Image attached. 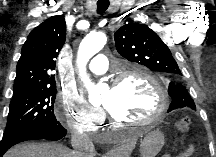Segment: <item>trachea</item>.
I'll return each instance as SVG.
<instances>
[{"label": "trachea", "mask_w": 216, "mask_h": 157, "mask_svg": "<svg viewBox=\"0 0 216 157\" xmlns=\"http://www.w3.org/2000/svg\"><path fill=\"white\" fill-rule=\"evenodd\" d=\"M109 7V1H105V0H99L97 2V12L99 14L105 12Z\"/></svg>", "instance_id": "1"}]
</instances>
